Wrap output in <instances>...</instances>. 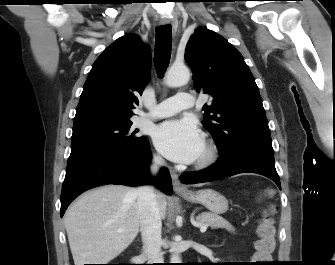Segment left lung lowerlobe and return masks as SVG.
Wrapping results in <instances>:
<instances>
[{"label":"left lung lower lobe","mask_w":335,"mask_h":265,"mask_svg":"<svg viewBox=\"0 0 335 265\" xmlns=\"http://www.w3.org/2000/svg\"><path fill=\"white\" fill-rule=\"evenodd\" d=\"M239 173H257L273 180L281 189L279 175L275 168L274 155L251 147H240L220 155L218 161L200 172L180 176L184 184L210 182Z\"/></svg>","instance_id":"left-lung-lower-lobe-1"}]
</instances>
